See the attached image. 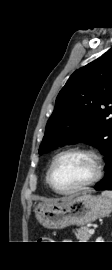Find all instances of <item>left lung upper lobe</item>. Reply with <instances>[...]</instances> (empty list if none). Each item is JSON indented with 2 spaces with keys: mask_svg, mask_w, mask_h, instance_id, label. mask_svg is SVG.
<instances>
[{
  "mask_svg": "<svg viewBox=\"0 0 112 270\" xmlns=\"http://www.w3.org/2000/svg\"><path fill=\"white\" fill-rule=\"evenodd\" d=\"M89 143L112 154V48L76 70L57 96L39 152Z\"/></svg>",
  "mask_w": 112,
  "mask_h": 270,
  "instance_id": "5c2ea615",
  "label": "left lung upper lobe"
}]
</instances>
